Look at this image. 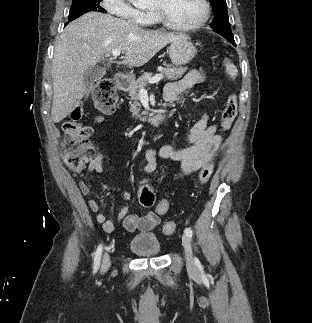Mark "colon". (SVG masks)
Wrapping results in <instances>:
<instances>
[{
  "mask_svg": "<svg viewBox=\"0 0 312 323\" xmlns=\"http://www.w3.org/2000/svg\"><path fill=\"white\" fill-rule=\"evenodd\" d=\"M94 102L97 108L107 113L113 110L118 102L115 84L109 77L99 78L95 85ZM237 116V96L229 93L226 98L225 109L222 118V129L228 130ZM92 129L87 125L67 121L63 125V147L65 148L66 163L72 172H77L96 156V149L89 140ZM213 173V165L206 164L199 174L200 183H206ZM141 184H148V177H141ZM141 205L151 206L154 199L152 188L144 186L138 190ZM168 202H157L155 213H167ZM177 224L169 221L162 226V232L166 235L175 233Z\"/></svg>",
  "mask_w": 312,
  "mask_h": 323,
  "instance_id": "5ec220e1",
  "label": "colon"
}]
</instances>
